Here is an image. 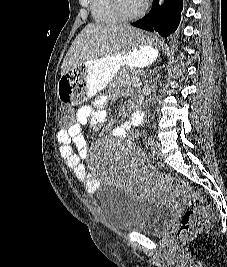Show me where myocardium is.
Returning a JSON list of instances; mask_svg holds the SVG:
<instances>
[{
	"instance_id": "obj_1",
	"label": "myocardium",
	"mask_w": 227,
	"mask_h": 267,
	"mask_svg": "<svg viewBox=\"0 0 227 267\" xmlns=\"http://www.w3.org/2000/svg\"><path fill=\"white\" fill-rule=\"evenodd\" d=\"M112 6L116 14L120 17V19L124 21L136 20L140 18L145 12L144 6L138 9L136 12L133 13L127 12L123 6L122 0H112Z\"/></svg>"
}]
</instances>
